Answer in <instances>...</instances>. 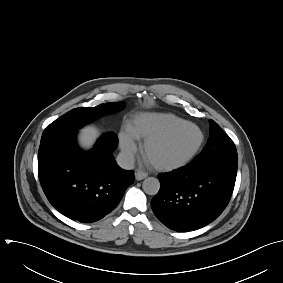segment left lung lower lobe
Instances as JSON below:
<instances>
[{"label":"left lung lower lobe","mask_w":283,"mask_h":283,"mask_svg":"<svg viewBox=\"0 0 283 283\" xmlns=\"http://www.w3.org/2000/svg\"><path fill=\"white\" fill-rule=\"evenodd\" d=\"M237 169L190 165L160 174V190L151 201L156 217L168 228L193 231L214 221L226 208Z\"/></svg>","instance_id":"1"}]
</instances>
